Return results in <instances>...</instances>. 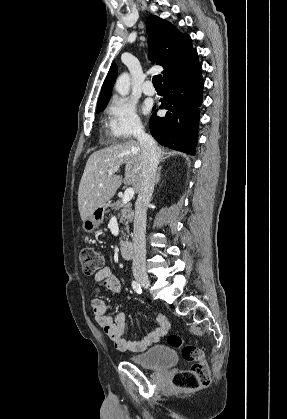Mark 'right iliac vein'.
I'll list each match as a JSON object with an SVG mask.
<instances>
[{
	"instance_id": "obj_1",
	"label": "right iliac vein",
	"mask_w": 287,
	"mask_h": 419,
	"mask_svg": "<svg viewBox=\"0 0 287 419\" xmlns=\"http://www.w3.org/2000/svg\"><path fill=\"white\" fill-rule=\"evenodd\" d=\"M136 280L144 288H149L150 287V281H149V279L147 277L137 276L136 277Z\"/></svg>"
}]
</instances>
